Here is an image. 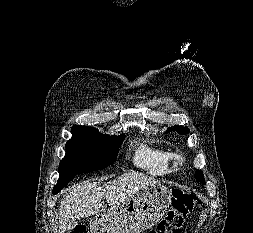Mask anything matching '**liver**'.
<instances>
[{
    "mask_svg": "<svg viewBox=\"0 0 253 233\" xmlns=\"http://www.w3.org/2000/svg\"><path fill=\"white\" fill-rule=\"evenodd\" d=\"M159 184V181L138 172H129L108 183L86 181L63 195L59 205V233H64L72 223L84 217L97 215L105 210L103 198L111 206L118 205L137 191Z\"/></svg>",
    "mask_w": 253,
    "mask_h": 233,
    "instance_id": "1",
    "label": "liver"
}]
</instances>
